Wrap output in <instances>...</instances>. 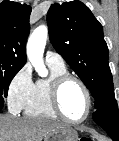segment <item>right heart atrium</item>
<instances>
[{
    "label": "right heart atrium",
    "instance_id": "d8ad5b80",
    "mask_svg": "<svg viewBox=\"0 0 119 141\" xmlns=\"http://www.w3.org/2000/svg\"><path fill=\"white\" fill-rule=\"evenodd\" d=\"M32 70L24 65L11 79L7 90V102L10 110L18 113L23 110L33 89Z\"/></svg>",
    "mask_w": 119,
    "mask_h": 141
}]
</instances>
